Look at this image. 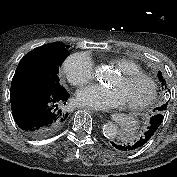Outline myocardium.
<instances>
[{
	"instance_id": "f54148a6",
	"label": "myocardium",
	"mask_w": 177,
	"mask_h": 177,
	"mask_svg": "<svg viewBox=\"0 0 177 177\" xmlns=\"http://www.w3.org/2000/svg\"><path fill=\"white\" fill-rule=\"evenodd\" d=\"M120 77L122 80L125 81L142 80L149 85V93L147 94V96L141 101L125 104L128 109L131 110L143 109L149 104H151V102L155 99L158 86L156 81L151 76L142 72H135V73H121Z\"/></svg>"
}]
</instances>
